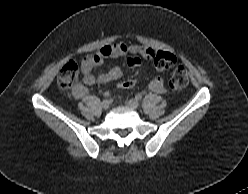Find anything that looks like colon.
<instances>
[{
    "mask_svg": "<svg viewBox=\"0 0 248 194\" xmlns=\"http://www.w3.org/2000/svg\"><path fill=\"white\" fill-rule=\"evenodd\" d=\"M155 66L158 70H167L172 68L175 63V57L168 52L158 51L154 54ZM79 78V67L75 61L66 63L59 75L58 85L62 90H68L75 86ZM135 83L134 80H126L119 82L116 87L118 89H126ZM189 83V76L186 69L182 66L176 67L170 79V86L175 90L185 88Z\"/></svg>",
    "mask_w": 248,
    "mask_h": 194,
    "instance_id": "colon-1",
    "label": "colon"
}]
</instances>
